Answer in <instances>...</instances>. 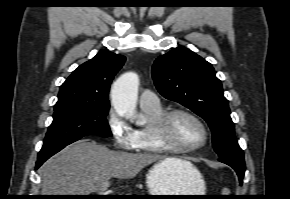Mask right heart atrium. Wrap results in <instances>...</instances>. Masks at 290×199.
I'll use <instances>...</instances> for the list:
<instances>
[{"label":"right heart atrium","mask_w":290,"mask_h":199,"mask_svg":"<svg viewBox=\"0 0 290 199\" xmlns=\"http://www.w3.org/2000/svg\"><path fill=\"white\" fill-rule=\"evenodd\" d=\"M107 124L115 147L120 150H133L135 145L134 129L114 109L108 113Z\"/></svg>","instance_id":"obj_1"}]
</instances>
